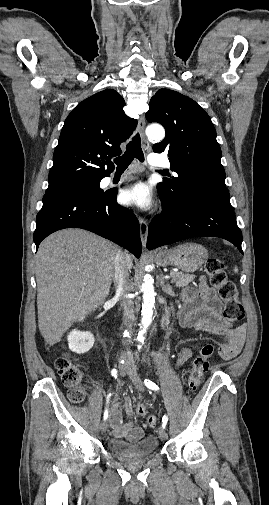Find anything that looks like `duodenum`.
Returning a JSON list of instances; mask_svg holds the SVG:
<instances>
[{"label":"duodenum","mask_w":269,"mask_h":505,"mask_svg":"<svg viewBox=\"0 0 269 505\" xmlns=\"http://www.w3.org/2000/svg\"><path fill=\"white\" fill-rule=\"evenodd\" d=\"M168 321H169L168 316L167 315L164 316V318H163V325L166 326L168 324Z\"/></svg>","instance_id":"1"}]
</instances>
